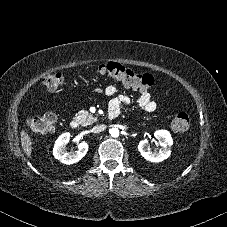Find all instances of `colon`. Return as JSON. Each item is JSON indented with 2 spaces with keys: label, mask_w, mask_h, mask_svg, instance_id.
Returning <instances> with one entry per match:
<instances>
[{
  "label": "colon",
  "mask_w": 227,
  "mask_h": 227,
  "mask_svg": "<svg viewBox=\"0 0 227 227\" xmlns=\"http://www.w3.org/2000/svg\"><path fill=\"white\" fill-rule=\"evenodd\" d=\"M97 73L109 76L120 81L124 86L141 92L146 91L153 84V77L150 74L138 73L133 69L126 68L117 62H108L99 65ZM64 82L61 73H52L43 79V85L48 91L58 90ZM57 121L54 113H46L38 116H31L27 120L28 126L32 131L40 134L52 131ZM190 127L189 116L185 112L178 113L173 121L172 128L176 132H185Z\"/></svg>",
  "instance_id": "obj_1"
}]
</instances>
